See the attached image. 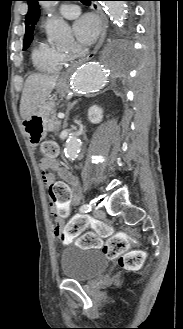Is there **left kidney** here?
<instances>
[{
	"label": "left kidney",
	"mask_w": 183,
	"mask_h": 329,
	"mask_svg": "<svg viewBox=\"0 0 183 329\" xmlns=\"http://www.w3.org/2000/svg\"><path fill=\"white\" fill-rule=\"evenodd\" d=\"M88 119L93 124H98L103 119V110L97 105H93L88 110Z\"/></svg>",
	"instance_id": "1"
}]
</instances>
